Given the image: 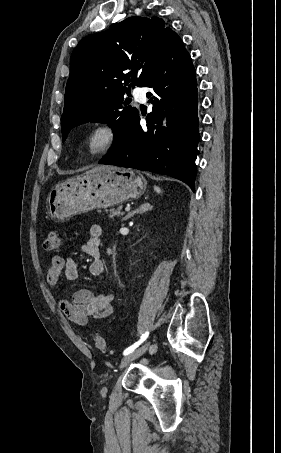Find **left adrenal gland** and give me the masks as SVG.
I'll return each mask as SVG.
<instances>
[{"label": "left adrenal gland", "mask_w": 281, "mask_h": 453, "mask_svg": "<svg viewBox=\"0 0 281 453\" xmlns=\"http://www.w3.org/2000/svg\"><path fill=\"white\" fill-rule=\"evenodd\" d=\"M146 210H152V204H149V202H144V204H140L139 208H135V210H131L129 214H126L124 216L123 220H127V218H131V216H134V214H142V212H146Z\"/></svg>", "instance_id": "1"}]
</instances>
